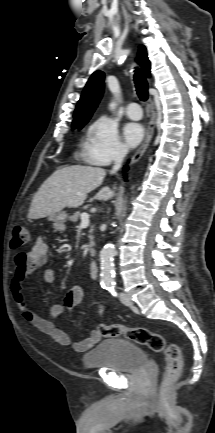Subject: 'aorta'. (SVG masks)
Listing matches in <instances>:
<instances>
[{
	"label": "aorta",
	"mask_w": 215,
	"mask_h": 433,
	"mask_svg": "<svg viewBox=\"0 0 215 433\" xmlns=\"http://www.w3.org/2000/svg\"><path fill=\"white\" fill-rule=\"evenodd\" d=\"M109 109L114 111L116 109V103L112 101L109 104ZM116 254L115 246L109 242L107 243L100 252L101 261V284L106 287L114 286V256Z\"/></svg>",
	"instance_id": "aorta-1"
}]
</instances>
